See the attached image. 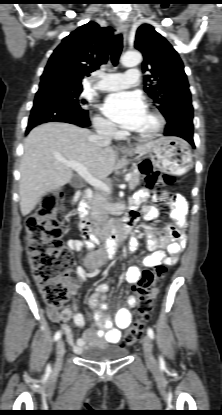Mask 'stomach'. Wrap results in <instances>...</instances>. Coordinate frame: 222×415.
<instances>
[{
	"instance_id": "obj_1",
	"label": "stomach",
	"mask_w": 222,
	"mask_h": 415,
	"mask_svg": "<svg viewBox=\"0 0 222 415\" xmlns=\"http://www.w3.org/2000/svg\"><path fill=\"white\" fill-rule=\"evenodd\" d=\"M148 157L160 170L173 174L187 173L193 164L189 145L177 137H165L151 142V148L139 157Z\"/></svg>"
}]
</instances>
